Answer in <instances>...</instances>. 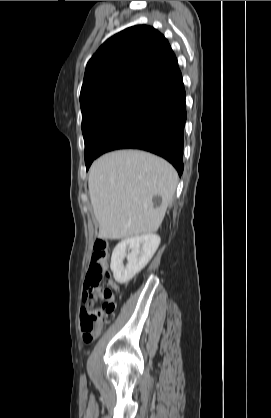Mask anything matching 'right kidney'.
Segmentation results:
<instances>
[{"label": "right kidney", "mask_w": 271, "mask_h": 418, "mask_svg": "<svg viewBox=\"0 0 271 418\" xmlns=\"http://www.w3.org/2000/svg\"><path fill=\"white\" fill-rule=\"evenodd\" d=\"M160 241L158 235L147 234L129 237L118 243L113 250L110 264L114 279L120 284L130 281L153 257ZM125 258L127 264L124 267Z\"/></svg>", "instance_id": "1"}]
</instances>
